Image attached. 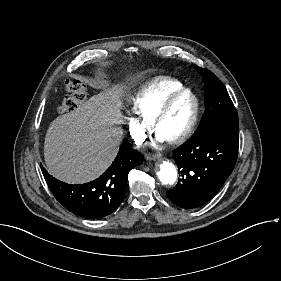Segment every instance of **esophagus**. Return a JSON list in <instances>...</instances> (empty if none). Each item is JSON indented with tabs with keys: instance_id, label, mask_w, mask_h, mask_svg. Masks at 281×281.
Instances as JSON below:
<instances>
[{
	"instance_id": "34e87169",
	"label": "esophagus",
	"mask_w": 281,
	"mask_h": 281,
	"mask_svg": "<svg viewBox=\"0 0 281 281\" xmlns=\"http://www.w3.org/2000/svg\"><path fill=\"white\" fill-rule=\"evenodd\" d=\"M160 157V154H147L146 155V158L151 160V161H155L157 160L158 158Z\"/></svg>"
}]
</instances>
